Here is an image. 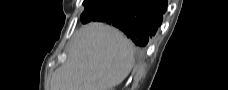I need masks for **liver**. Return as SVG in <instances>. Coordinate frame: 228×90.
<instances>
[{
  "label": "liver",
  "mask_w": 228,
  "mask_h": 90,
  "mask_svg": "<svg viewBox=\"0 0 228 90\" xmlns=\"http://www.w3.org/2000/svg\"><path fill=\"white\" fill-rule=\"evenodd\" d=\"M133 61L132 43L121 32L90 23L74 34L51 90H111L128 76Z\"/></svg>",
  "instance_id": "6515ba94"
}]
</instances>
